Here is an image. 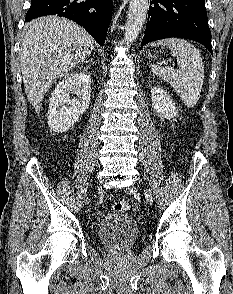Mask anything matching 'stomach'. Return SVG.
<instances>
[{
    "label": "stomach",
    "instance_id": "1",
    "mask_svg": "<svg viewBox=\"0 0 233 294\" xmlns=\"http://www.w3.org/2000/svg\"><path fill=\"white\" fill-rule=\"evenodd\" d=\"M148 56H152L151 53H148Z\"/></svg>",
    "mask_w": 233,
    "mask_h": 294
}]
</instances>
